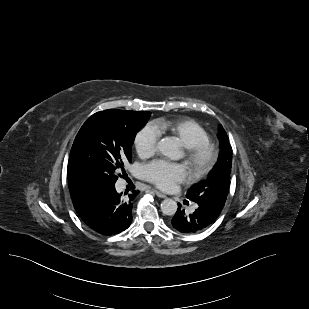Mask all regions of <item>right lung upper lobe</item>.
I'll return each mask as SVG.
<instances>
[{
  "instance_id": "obj_1",
  "label": "right lung upper lobe",
  "mask_w": 309,
  "mask_h": 309,
  "mask_svg": "<svg viewBox=\"0 0 309 309\" xmlns=\"http://www.w3.org/2000/svg\"><path fill=\"white\" fill-rule=\"evenodd\" d=\"M68 178H73L72 176H68Z\"/></svg>"
}]
</instances>
